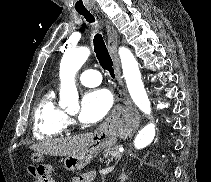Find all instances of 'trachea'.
Wrapping results in <instances>:
<instances>
[{"mask_svg":"<svg viewBox=\"0 0 211 182\" xmlns=\"http://www.w3.org/2000/svg\"><path fill=\"white\" fill-rule=\"evenodd\" d=\"M78 13L82 15L90 23L95 21L93 15L89 11H78ZM93 44H94V51L100 65L102 66L103 69L107 70L110 73L112 78H114L115 75H114L113 61L111 59V56L108 52V49L105 45V42L101 34L95 35L93 39Z\"/></svg>","mask_w":211,"mask_h":182,"instance_id":"3493384b","label":"trachea"}]
</instances>
